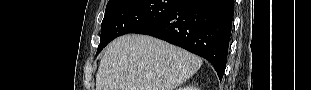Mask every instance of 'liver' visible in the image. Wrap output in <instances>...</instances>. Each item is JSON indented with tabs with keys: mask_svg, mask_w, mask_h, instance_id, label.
I'll list each match as a JSON object with an SVG mask.
<instances>
[{
	"mask_svg": "<svg viewBox=\"0 0 311 90\" xmlns=\"http://www.w3.org/2000/svg\"><path fill=\"white\" fill-rule=\"evenodd\" d=\"M201 65L198 56L157 38L124 35L104 52L96 90H174Z\"/></svg>",
	"mask_w": 311,
	"mask_h": 90,
	"instance_id": "obj_1",
	"label": "liver"
}]
</instances>
